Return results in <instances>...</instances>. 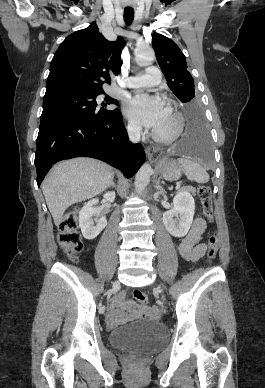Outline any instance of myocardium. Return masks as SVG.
<instances>
[{
    "instance_id": "1",
    "label": "myocardium",
    "mask_w": 265,
    "mask_h": 388,
    "mask_svg": "<svg viewBox=\"0 0 265 388\" xmlns=\"http://www.w3.org/2000/svg\"><path fill=\"white\" fill-rule=\"evenodd\" d=\"M168 113L171 116L172 119V128L168 132H160L156 128L153 130V136L157 141L163 142V143H170L175 141L184 126V117L180 112L175 110L172 107L168 108Z\"/></svg>"
}]
</instances>
